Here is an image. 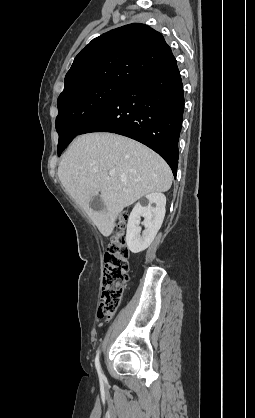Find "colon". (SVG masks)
Masks as SVG:
<instances>
[{"instance_id": "5ec220e1", "label": "colon", "mask_w": 255, "mask_h": 418, "mask_svg": "<svg viewBox=\"0 0 255 418\" xmlns=\"http://www.w3.org/2000/svg\"><path fill=\"white\" fill-rule=\"evenodd\" d=\"M126 215H123L121 228ZM129 280V250L123 232L118 231L110 240L104 254V268L101 283V296L97 316L100 320L111 318L117 311Z\"/></svg>"}]
</instances>
